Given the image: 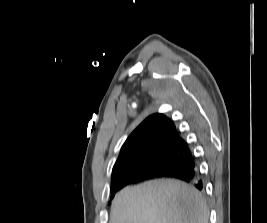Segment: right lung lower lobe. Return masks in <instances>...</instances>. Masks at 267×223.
Listing matches in <instances>:
<instances>
[{"instance_id": "right-lung-lower-lobe-1", "label": "right lung lower lobe", "mask_w": 267, "mask_h": 223, "mask_svg": "<svg viewBox=\"0 0 267 223\" xmlns=\"http://www.w3.org/2000/svg\"><path fill=\"white\" fill-rule=\"evenodd\" d=\"M158 177L180 179L195 185L199 190L202 189V181L199 178L195 157L189 150L185 156L167 172L159 173L151 170H135L112 178L111 192L114 195L116 191L128 184Z\"/></svg>"}]
</instances>
